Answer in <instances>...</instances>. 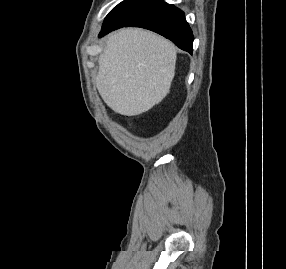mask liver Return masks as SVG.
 I'll list each match as a JSON object with an SVG mask.
<instances>
[{"instance_id":"obj_1","label":"liver","mask_w":286,"mask_h":269,"mask_svg":"<svg viewBox=\"0 0 286 269\" xmlns=\"http://www.w3.org/2000/svg\"><path fill=\"white\" fill-rule=\"evenodd\" d=\"M98 63L95 84L104 102L116 113L136 116L169 92L176 49L155 33L126 28L108 37Z\"/></svg>"}]
</instances>
